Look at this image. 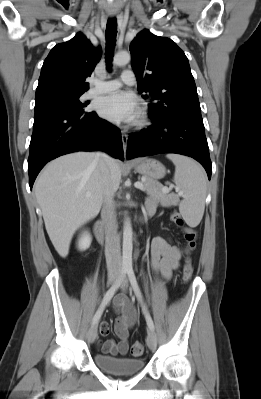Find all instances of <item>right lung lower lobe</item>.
I'll return each instance as SVG.
<instances>
[{
  "mask_svg": "<svg viewBox=\"0 0 261 399\" xmlns=\"http://www.w3.org/2000/svg\"><path fill=\"white\" fill-rule=\"evenodd\" d=\"M102 150L124 159L121 133L95 112L80 115L64 109L35 113L29 146V185L50 160L76 151Z\"/></svg>",
  "mask_w": 261,
  "mask_h": 399,
  "instance_id": "98d812e1",
  "label": "right lung lower lobe"
}]
</instances>
